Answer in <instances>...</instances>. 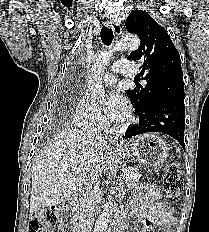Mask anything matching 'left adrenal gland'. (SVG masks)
<instances>
[{
	"label": "left adrenal gland",
	"mask_w": 209,
	"mask_h": 232,
	"mask_svg": "<svg viewBox=\"0 0 209 232\" xmlns=\"http://www.w3.org/2000/svg\"><path fill=\"white\" fill-rule=\"evenodd\" d=\"M123 188H124V183H121V185H120V192L122 193V194H124V190H123ZM121 198H123V196H121Z\"/></svg>",
	"instance_id": "a2214340"
}]
</instances>
